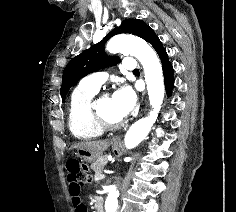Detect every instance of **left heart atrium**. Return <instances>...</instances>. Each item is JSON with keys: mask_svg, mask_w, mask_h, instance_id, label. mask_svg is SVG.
<instances>
[{"mask_svg": "<svg viewBox=\"0 0 236 212\" xmlns=\"http://www.w3.org/2000/svg\"><path fill=\"white\" fill-rule=\"evenodd\" d=\"M115 113L118 117H126L136 106V95L129 87H122L112 95Z\"/></svg>", "mask_w": 236, "mask_h": 212, "instance_id": "39dd6f15", "label": "left heart atrium"}]
</instances>
